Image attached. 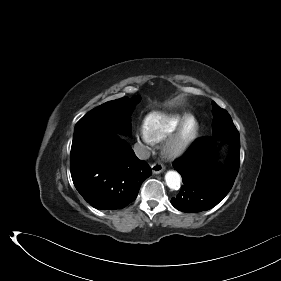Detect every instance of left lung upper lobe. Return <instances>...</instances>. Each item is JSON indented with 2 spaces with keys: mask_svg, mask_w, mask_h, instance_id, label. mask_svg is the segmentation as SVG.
<instances>
[{
  "mask_svg": "<svg viewBox=\"0 0 281 281\" xmlns=\"http://www.w3.org/2000/svg\"><path fill=\"white\" fill-rule=\"evenodd\" d=\"M213 106V136L218 138H231L238 133L230 115L215 102Z\"/></svg>",
  "mask_w": 281,
  "mask_h": 281,
  "instance_id": "5c2ea615",
  "label": "left lung upper lobe"
}]
</instances>
